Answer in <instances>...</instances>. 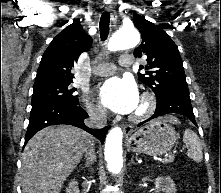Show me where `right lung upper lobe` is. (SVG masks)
Returning <instances> with one entry per match:
<instances>
[{"mask_svg": "<svg viewBox=\"0 0 221 193\" xmlns=\"http://www.w3.org/2000/svg\"><path fill=\"white\" fill-rule=\"evenodd\" d=\"M91 45L92 38L83 30L80 21L74 20L52 40L44 52L34 85L72 81L74 63Z\"/></svg>", "mask_w": 221, "mask_h": 193, "instance_id": "cb5924a9", "label": "right lung upper lobe"}]
</instances>
